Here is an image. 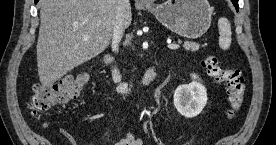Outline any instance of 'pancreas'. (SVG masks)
<instances>
[{"instance_id":"obj_1","label":"pancreas","mask_w":276,"mask_h":145,"mask_svg":"<svg viewBox=\"0 0 276 145\" xmlns=\"http://www.w3.org/2000/svg\"><path fill=\"white\" fill-rule=\"evenodd\" d=\"M183 47L185 50L197 51L199 49V44L185 41Z\"/></svg>"}]
</instances>
